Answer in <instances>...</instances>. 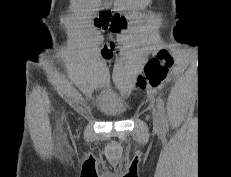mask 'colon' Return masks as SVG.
<instances>
[{
    "label": "colon",
    "mask_w": 231,
    "mask_h": 177,
    "mask_svg": "<svg viewBox=\"0 0 231 177\" xmlns=\"http://www.w3.org/2000/svg\"><path fill=\"white\" fill-rule=\"evenodd\" d=\"M103 29L109 28L112 31H119L125 25L126 21L120 15L111 16L108 13H103L97 20ZM112 54V51L109 49L103 50V55L109 57ZM173 64L172 57L166 50H160L156 57L151 58L144 69V76L138 78V86L144 87L146 83H149L151 86H158L166 77L169 67Z\"/></svg>",
    "instance_id": "5ec220e1"
}]
</instances>
